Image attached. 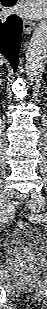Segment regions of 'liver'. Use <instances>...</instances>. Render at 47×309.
<instances>
[{"mask_svg": "<svg viewBox=\"0 0 47 309\" xmlns=\"http://www.w3.org/2000/svg\"><path fill=\"white\" fill-rule=\"evenodd\" d=\"M4 63V59L2 56H0V65H2Z\"/></svg>", "mask_w": 47, "mask_h": 309, "instance_id": "liver-1", "label": "liver"}]
</instances>
